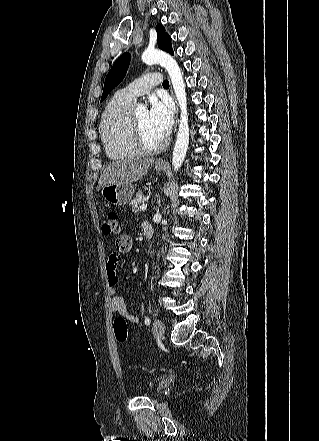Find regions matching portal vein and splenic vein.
Returning a JSON list of instances; mask_svg holds the SVG:
<instances>
[{
  "label": "portal vein and splenic vein",
  "mask_w": 319,
  "mask_h": 441,
  "mask_svg": "<svg viewBox=\"0 0 319 441\" xmlns=\"http://www.w3.org/2000/svg\"><path fill=\"white\" fill-rule=\"evenodd\" d=\"M147 208V204H142L141 206H140V210H145Z\"/></svg>",
  "instance_id": "1"
}]
</instances>
